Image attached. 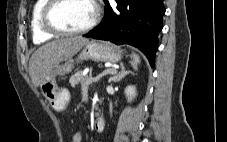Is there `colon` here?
I'll return each instance as SVG.
<instances>
[{
    "label": "colon",
    "instance_id": "5ec220e1",
    "mask_svg": "<svg viewBox=\"0 0 227 142\" xmlns=\"http://www.w3.org/2000/svg\"><path fill=\"white\" fill-rule=\"evenodd\" d=\"M70 142H83V135L80 130H75L70 137Z\"/></svg>",
    "mask_w": 227,
    "mask_h": 142
}]
</instances>
